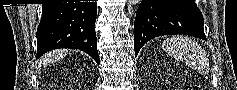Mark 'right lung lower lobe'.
Here are the masks:
<instances>
[{"mask_svg":"<svg viewBox=\"0 0 237 90\" xmlns=\"http://www.w3.org/2000/svg\"><path fill=\"white\" fill-rule=\"evenodd\" d=\"M96 2L43 4L37 30V59L58 48L80 49L98 64Z\"/></svg>","mask_w":237,"mask_h":90,"instance_id":"98d812e1","label":"right lung lower lobe"}]
</instances>
